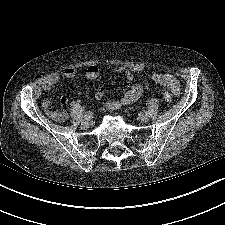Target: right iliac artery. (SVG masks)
I'll return each mask as SVG.
<instances>
[{
  "instance_id": "1",
  "label": "right iliac artery",
  "mask_w": 225,
  "mask_h": 225,
  "mask_svg": "<svg viewBox=\"0 0 225 225\" xmlns=\"http://www.w3.org/2000/svg\"><path fill=\"white\" fill-rule=\"evenodd\" d=\"M94 113L92 111L87 112L84 115V120H90L93 117Z\"/></svg>"
}]
</instances>
